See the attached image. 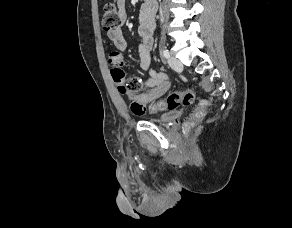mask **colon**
I'll return each instance as SVG.
<instances>
[{"instance_id":"obj_1","label":"colon","mask_w":292,"mask_h":228,"mask_svg":"<svg viewBox=\"0 0 292 228\" xmlns=\"http://www.w3.org/2000/svg\"><path fill=\"white\" fill-rule=\"evenodd\" d=\"M122 23L121 16L117 5L114 3H107L103 9L102 25L105 30H113L118 28ZM109 65L114 81L118 88L123 93L136 94L140 88L141 83L137 78L126 79L121 66L123 65L122 56L118 52H112L109 55ZM195 94L191 89H184L170 93L166 98L159 101L154 107L160 110H174L179 106H188L194 102ZM207 100H201L198 107L193 112L192 116L185 125V131L188 132L204 115L207 107ZM132 111L135 114L142 115L146 108L139 102H133L131 105Z\"/></svg>"}]
</instances>
